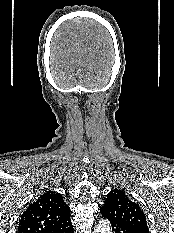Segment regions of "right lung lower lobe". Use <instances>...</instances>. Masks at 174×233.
I'll use <instances>...</instances> for the list:
<instances>
[{"instance_id":"right-lung-lower-lobe-1","label":"right lung lower lobe","mask_w":174,"mask_h":233,"mask_svg":"<svg viewBox=\"0 0 174 233\" xmlns=\"http://www.w3.org/2000/svg\"><path fill=\"white\" fill-rule=\"evenodd\" d=\"M56 233H72V225L62 231H56Z\"/></svg>"}]
</instances>
